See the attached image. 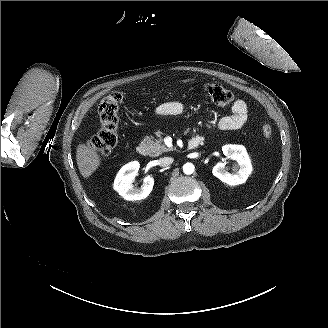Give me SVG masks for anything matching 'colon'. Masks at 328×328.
I'll return each mask as SVG.
<instances>
[{"label": "colon", "instance_id": "obj_1", "mask_svg": "<svg viewBox=\"0 0 328 328\" xmlns=\"http://www.w3.org/2000/svg\"><path fill=\"white\" fill-rule=\"evenodd\" d=\"M203 92L217 105L225 106L234 100V95L230 90L217 84H205ZM122 100L123 94L121 92H112L99 104L100 128L89 142V148L100 155L110 153L118 142V111ZM262 133L266 139H269L272 135L271 126L263 125Z\"/></svg>", "mask_w": 328, "mask_h": 328}]
</instances>
